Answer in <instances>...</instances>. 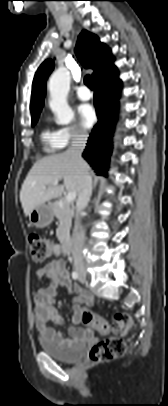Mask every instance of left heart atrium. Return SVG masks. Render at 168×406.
Here are the masks:
<instances>
[{
    "instance_id": "1",
    "label": "left heart atrium",
    "mask_w": 168,
    "mask_h": 406,
    "mask_svg": "<svg viewBox=\"0 0 168 406\" xmlns=\"http://www.w3.org/2000/svg\"><path fill=\"white\" fill-rule=\"evenodd\" d=\"M78 114L80 117L81 124L85 128H90L94 125L96 121V113L92 105L82 104L78 107Z\"/></svg>"
}]
</instances>
